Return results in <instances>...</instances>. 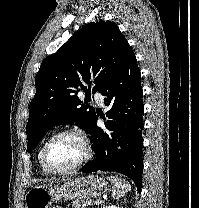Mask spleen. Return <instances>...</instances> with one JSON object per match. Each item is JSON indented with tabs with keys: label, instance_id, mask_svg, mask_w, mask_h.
I'll use <instances>...</instances> for the list:
<instances>
[{
	"label": "spleen",
	"instance_id": "spleen-1",
	"mask_svg": "<svg viewBox=\"0 0 199 208\" xmlns=\"http://www.w3.org/2000/svg\"><path fill=\"white\" fill-rule=\"evenodd\" d=\"M108 180L112 184V197L119 199L131 190V185L122 178L109 176Z\"/></svg>",
	"mask_w": 199,
	"mask_h": 208
}]
</instances>
